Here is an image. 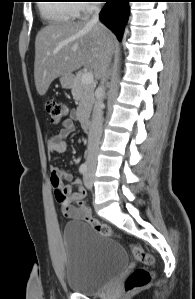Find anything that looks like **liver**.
Segmentation results:
<instances>
[{
	"label": "liver",
	"mask_w": 195,
	"mask_h": 299,
	"mask_svg": "<svg viewBox=\"0 0 195 299\" xmlns=\"http://www.w3.org/2000/svg\"><path fill=\"white\" fill-rule=\"evenodd\" d=\"M115 43L113 33L101 23L69 21L44 27L35 39L34 79L38 94L44 95L57 77L82 66L101 77Z\"/></svg>",
	"instance_id": "obj_1"
}]
</instances>
